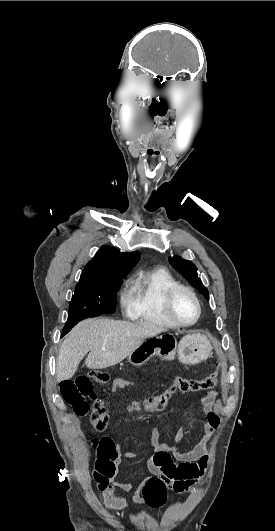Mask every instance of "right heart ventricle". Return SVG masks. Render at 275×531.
Here are the masks:
<instances>
[{
    "label": "right heart ventricle",
    "mask_w": 275,
    "mask_h": 531,
    "mask_svg": "<svg viewBox=\"0 0 275 531\" xmlns=\"http://www.w3.org/2000/svg\"><path fill=\"white\" fill-rule=\"evenodd\" d=\"M175 284L177 282L173 276L164 271L139 276L135 283L136 306L132 312L133 318L152 326L177 328L163 308L164 295Z\"/></svg>",
    "instance_id": "1"
}]
</instances>
